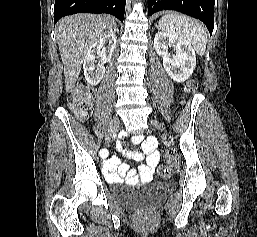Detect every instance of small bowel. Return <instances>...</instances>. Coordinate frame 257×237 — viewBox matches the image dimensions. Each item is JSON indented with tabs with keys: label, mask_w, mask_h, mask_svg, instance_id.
Wrapping results in <instances>:
<instances>
[{
	"label": "small bowel",
	"mask_w": 257,
	"mask_h": 237,
	"mask_svg": "<svg viewBox=\"0 0 257 237\" xmlns=\"http://www.w3.org/2000/svg\"><path fill=\"white\" fill-rule=\"evenodd\" d=\"M132 144H140V148L129 146L128 154L134 159L145 158V163L138 170L129 168L128 165L121 162L118 156H113L104 164V175L112 182H137L150 181L159 164L160 155L157 151V143L154 137L145 138L142 135H137L132 138ZM124 143V140H121Z\"/></svg>",
	"instance_id": "small-bowel-1"
}]
</instances>
